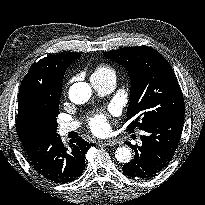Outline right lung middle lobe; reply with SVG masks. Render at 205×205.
Returning a JSON list of instances; mask_svg holds the SVG:
<instances>
[{"mask_svg": "<svg viewBox=\"0 0 205 205\" xmlns=\"http://www.w3.org/2000/svg\"><path fill=\"white\" fill-rule=\"evenodd\" d=\"M61 92L54 95H31L24 102V113L32 125L45 134H56Z\"/></svg>", "mask_w": 205, "mask_h": 205, "instance_id": "obj_1", "label": "right lung middle lobe"}]
</instances>
